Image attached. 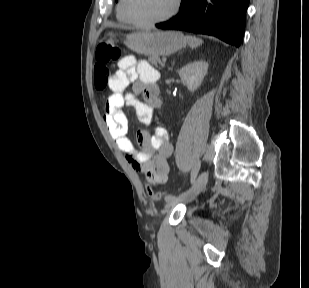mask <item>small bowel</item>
Here are the masks:
<instances>
[{"label":"small bowel","instance_id":"1","mask_svg":"<svg viewBox=\"0 0 309 288\" xmlns=\"http://www.w3.org/2000/svg\"><path fill=\"white\" fill-rule=\"evenodd\" d=\"M156 76V70L147 61H136L130 56L120 60L118 69L110 78L112 94L107 98L103 116L111 138L126 155L130 166L154 186L168 179V158L173 151L168 132L162 126L155 127L153 134L146 130L139 131L136 135L139 150L127 136L128 122L122 109L132 106L138 120L144 125L150 124L153 112L162 106ZM129 85H132L131 90H128ZM139 95H142V100L138 99Z\"/></svg>","mask_w":309,"mask_h":288}]
</instances>
